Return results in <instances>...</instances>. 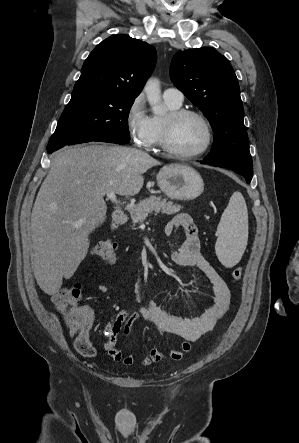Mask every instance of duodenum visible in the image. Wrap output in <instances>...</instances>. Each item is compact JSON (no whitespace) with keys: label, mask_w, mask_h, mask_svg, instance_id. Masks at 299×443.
Wrapping results in <instances>:
<instances>
[{"label":"duodenum","mask_w":299,"mask_h":443,"mask_svg":"<svg viewBox=\"0 0 299 443\" xmlns=\"http://www.w3.org/2000/svg\"><path fill=\"white\" fill-rule=\"evenodd\" d=\"M126 220H127V215L123 211H116L112 215L110 225L113 229H116L120 227L122 224H124Z\"/></svg>","instance_id":"410a0bca"}]
</instances>
